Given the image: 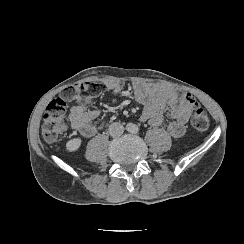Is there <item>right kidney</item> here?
<instances>
[{
	"label": "right kidney",
	"mask_w": 244,
	"mask_h": 244,
	"mask_svg": "<svg viewBox=\"0 0 244 244\" xmlns=\"http://www.w3.org/2000/svg\"><path fill=\"white\" fill-rule=\"evenodd\" d=\"M82 137L77 136L66 142L65 149L68 153H73L79 150L82 144Z\"/></svg>",
	"instance_id": "ca27d5eb"
}]
</instances>
